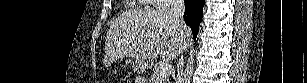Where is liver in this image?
I'll return each instance as SVG.
<instances>
[{
	"label": "liver",
	"mask_w": 307,
	"mask_h": 83,
	"mask_svg": "<svg viewBox=\"0 0 307 83\" xmlns=\"http://www.w3.org/2000/svg\"><path fill=\"white\" fill-rule=\"evenodd\" d=\"M191 42L188 26L180 28L171 10H134L115 19L106 35L104 64L121 57L135 58L147 67L145 59L173 60Z\"/></svg>",
	"instance_id": "6515ba94"
}]
</instances>
